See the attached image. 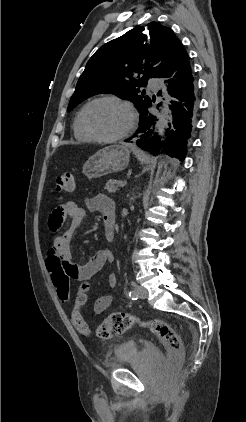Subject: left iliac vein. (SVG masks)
<instances>
[{
	"instance_id": "left-iliac-vein-1",
	"label": "left iliac vein",
	"mask_w": 246,
	"mask_h": 422,
	"mask_svg": "<svg viewBox=\"0 0 246 422\" xmlns=\"http://www.w3.org/2000/svg\"><path fill=\"white\" fill-rule=\"evenodd\" d=\"M135 293L138 298L140 299H146L148 297V292L144 287L137 286L135 287Z\"/></svg>"
}]
</instances>
